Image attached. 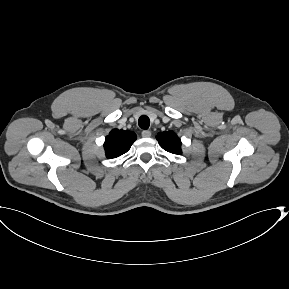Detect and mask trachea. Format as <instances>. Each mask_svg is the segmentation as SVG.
Here are the masks:
<instances>
[{"label": "trachea", "mask_w": 289, "mask_h": 289, "mask_svg": "<svg viewBox=\"0 0 289 289\" xmlns=\"http://www.w3.org/2000/svg\"><path fill=\"white\" fill-rule=\"evenodd\" d=\"M138 124L141 129H148L150 126V119L143 115L139 118Z\"/></svg>", "instance_id": "trachea-1"}]
</instances>
